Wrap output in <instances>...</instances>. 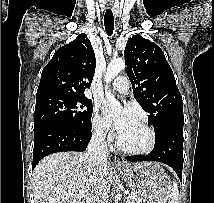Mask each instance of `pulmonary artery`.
<instances>
[{
  "label": "pulmonary artery",
  "instance_id": "e3ab8cb5",
  "mask_svg": "<svg viewBox=\"0 0 214 203\" xmlns=\"http://www.w3.org/2000/svg\"><path fill=\"white\" fill-rule=\"evenodd\" d=\"M112 87L119 93L125 94L129 88V80L126 76H118L112 82Z\"/></svg>",
  "mask_w": 214,
  "mask_h": 203
}]
</instances>
